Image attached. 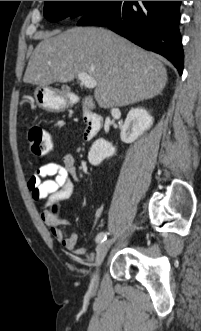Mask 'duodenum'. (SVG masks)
I'll return each mask as SVG.
<instances>
[{
    "instance_id": "410a0bca",
    "label": "duodenum",
    "mask_w": 201,
    "mask_h": 331,
    "mask_svg": "<svg viewBox=\"0 0 201 331\" xmlns=\"http://www.w3.org/2000/svg\"><path fill=\"white\" fill-rule=\"evenodd\" d=\"M82 117L85 122L83 138L85 141H91L100 131L103 124V117L87 108L82 111Z\"/></svg>"
}]
</instances>
